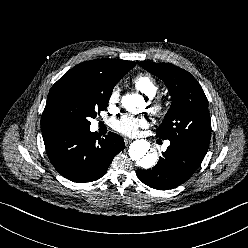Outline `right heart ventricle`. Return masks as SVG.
I'll list each match as a JSON object with an SVG mask.
<instances>
[{
  "mask_svg": "<svg viewBox=\"0 0 248 248\" xmlns=\"http://www.w3.org/2000/svg\"><path fill=\"white\" fill-rule=\"evenodd\" d=\"M135 88L148 97H154L159 86L156 80L149 74H139L132 80Z\"/></svg>",
  "mask_w": 248,
  "mask_h": 248,
  "instance_id": "e07e8e85",
  "label": "right heart ventricle"
}]
</instances>
